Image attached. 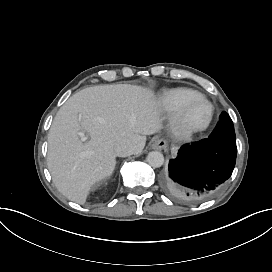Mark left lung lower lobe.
Masks as SVG:
<instances>
[{
	"instance_id": "0a47b994",
	"label": "left lung lower lobe",
	"mask_w": 272,
	"mask_h": 272,
	"mask_svg": "<svg viewBox=\"0 0 272 272\" xmlns=\"http://www.w3.org/2000/svg\"><path fill=\"white\" fill-rule=\"evenodd\" d=\"M235 144L205 139L183 146L162 177L164 190L183 203H196L218 193L236 163Z\"/></svg>"
}]
</instances>
